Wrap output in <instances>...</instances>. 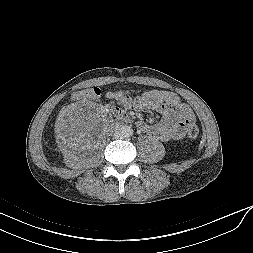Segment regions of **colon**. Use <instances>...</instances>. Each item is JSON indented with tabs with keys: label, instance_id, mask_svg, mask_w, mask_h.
I'll list each match as a JSON object with an SVG mask.
<instances>
[{
	"label": "colon",
	"instance_id": "1",
	"mask_svg": "<svg viewBox=\"0 0 253 253\" xmlns=\"http://www.w3.org/2000/svg\"><path fill=\"white\" fill-rule=\"evenodd\" d=\"M100 95V89L99 88H90L87 90H79L71 94L72 100H77L81 98H97ZM122 95H125L122 93ZM107 97L109 99H112L114 97V94L112 92H109L107 94ZM199 134V128L195 124H191L187 129V135L190 138H196Z\"/></svg>",
	"mask_w": 253,
	"mask_h": 253
}]
</instances>
